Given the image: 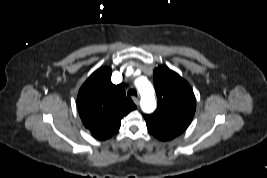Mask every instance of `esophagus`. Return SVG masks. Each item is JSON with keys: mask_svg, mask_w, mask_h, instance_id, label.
Listing matches in <instances>:
<instances>
[{"mask_svg": "<svg viewBox=\"0 0 267 178\" xmlns=\"http://www.w3.org/2000/svg\"><path fill=\"white\" fill-rule=\"evenodd\" d=\"M132 99L136 105H139V98L138 97L133 96Z\"/></svg>", "mask_w": 267, "mask_h": 178, "instance_id": "1", "label": "esophagus"}]
</instances>
